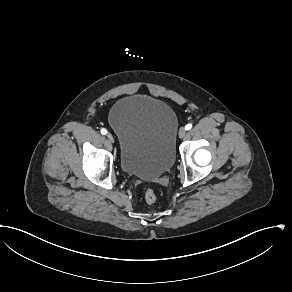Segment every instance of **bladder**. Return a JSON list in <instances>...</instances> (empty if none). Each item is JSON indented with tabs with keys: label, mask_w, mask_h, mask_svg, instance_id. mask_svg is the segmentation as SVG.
<instances>
[{
	"label": "bladder",
	"mask_w": 292,
	"mask_h": 292,
	"mask_svg": "<svg viewBox=\"0 0 292 292\" xmlns=\"http://www.w3.org/2000/svg\"><path fill=\"white\" fill-rule=\"evenodd\" d=\"M109 124L125 173L152 180L174 164L178 119L166 102L142 94L123 96L111 108Z\"/></svg>",
	"instance_id": "obj_1"
}]
</instances>
